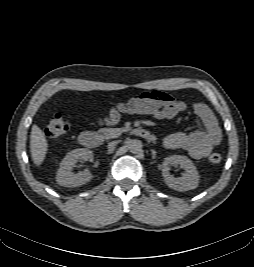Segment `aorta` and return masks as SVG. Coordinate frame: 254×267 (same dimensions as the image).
Masks as SVG:
<instances>
[{"label": "aorta", "instance_id": "1", "mask_svg": "<svg viewBox=\"0 0 254 267\" xmlns=\"http://www.w3.org/2000/svg\"><path fill=\"white\" fill-rule=\"evenodd\" d=\"M128 148L131 153L138 154L142 151V142L140 140H131L128 144Z\"/></svg>", "mask_w": 254, "mask_h": 267}]
</instances>
